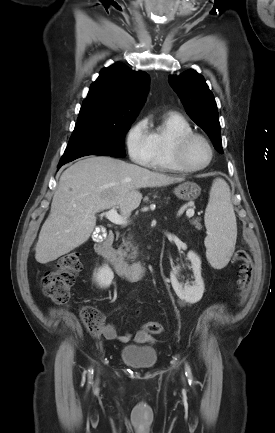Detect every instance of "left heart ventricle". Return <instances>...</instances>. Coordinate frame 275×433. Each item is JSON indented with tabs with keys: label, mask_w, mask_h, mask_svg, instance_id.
I'll use <instances>...</instances> for the list:
<instances>
[{
	"label": "left heart ventricle",
	"mask_w": 275,
	"mask_h": 433,
	"mask_svg": "<svg viewBox=\"0 0 275 433\" xmlns=\"http://www.w3.org/2000/svg\"><path fill=\"white\" fill-rule=\"evenodd\" d=\"M209 156V149L202 140L196 139L187 147L186 160L191 165H203L208 161Z\"/></svg>",
	"instance_id": "1"
}]
</instances>
